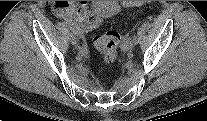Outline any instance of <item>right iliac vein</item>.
<instances>
[{
    "label": "right iliac vein",
    "mask_w": 207,
    "mask_h": 121,
    "mask_svg": "<svg viewBox=\"0 0 207 121\" xmlns=\"http://www.w3.org/2000/svg\"><path fill=\"white\" fill-rule=\"evenodd\" d=\"M70 42H71L73 45L78 46V39H77V37H76L75 35H73V34L70 36ZM80 51H81V53H83V52H87L86 49H81V48H80Z\"/></svg>",
    "instance_id": "obj_1"
}]
</instances>
